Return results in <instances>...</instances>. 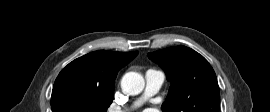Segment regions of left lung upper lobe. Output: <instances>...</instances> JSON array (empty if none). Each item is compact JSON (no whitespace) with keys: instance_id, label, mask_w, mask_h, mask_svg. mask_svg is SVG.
I'll list each match as a JSON object with an SVG mask.
<instances>
[{"instance_id":"left-lung-upper-lobe-1","label":"left lung upper lobe","mask_w":270,"mask_h":112,"mask_svg":"<svg viewBox=\"0 0 270 112\" xmlns=\"http://www.w3.org/2000/svg\"><path fill=\"white\" fill-rule=\"evenodd\" d=\"M171 82L163 112H219L220 93L215 72L196 51L179 45L152 53Z\"/></svg>"}]
</instances>
